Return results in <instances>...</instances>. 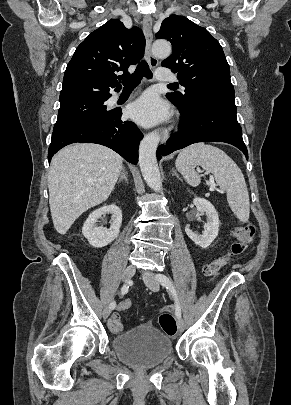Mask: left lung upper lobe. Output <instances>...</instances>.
I'll use <instances>...</instances> for the list:
<instances>
[{"mask_svg": "<svg viewBox=\"0 0 291 405\" xmlns=\"http://www.w3.org/2000/svg\"><path fill=\"white\" fill-rule=\"evenodd\" d=\"M157 39L171 42L173 53L162 66L177 72L185 94L167 93L174 104H184L189 96L206 91H232L230 68L219 42L203 27L184 16L166 18L156 33Z\"/></svg>", "mask_w": 291, "mask_h": 405, "instance_id": "left-lung-upper-lobe-1", "label": "left lung upper lobe"}]
</instances>
